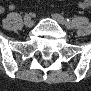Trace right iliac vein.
<instances>
[{
	"mask_svg": "<svg viewBox=\"0 0 91 91\" xmlns=\"http://www.w3.org/2000/svg\"><path fill=\"white\" fill-rule=\"evenodd\" d=\"M33 20L31 19V17L30 16H26V17H24V24H25V26L26 27H32L33 26Z\"/></svg>",
	"mask_w": 91,
	"mask_h": 91,
	"instance_id": "right-iliac-vein-1",
	"label": "right iliac vein"
}]
</instances>
